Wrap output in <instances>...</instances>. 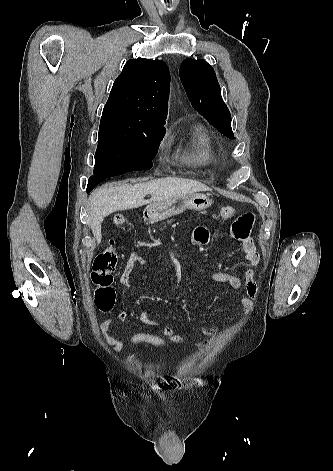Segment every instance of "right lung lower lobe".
<instances>
[{"instance_id": "98d812e1", "label": "right lung lower lobe", "mask_w": 333, "mask_h": 471, "mask_svg": "<svg viewBox=\"0 0 333 471\" xmlns=\"http://www.w3.org/2000/svg\"><path fill=\"white\" fill-rule=\"evenodd\" d=\"M107 178H95L90 177L87 185V193H89L94 187H96L100 182L106 180Z\"/></svg>"}]
</instances>
